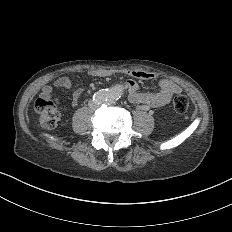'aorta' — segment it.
<instances>
[{"label":"aorta","mask_w":232,"mask_h":232,"mask_svg":"<svg viewBox=\"0 0 232 232\" xmlns=\"http://www.w3.org/2000/svg\"><path fill=\"white\" fill-rule=\"evenodd\" d=\"M122 94H123V87L120 85H116L104 93L105 97L111 100L119 99Z\"/></svg>","instance_id":"obj_1"}]
</instances>
